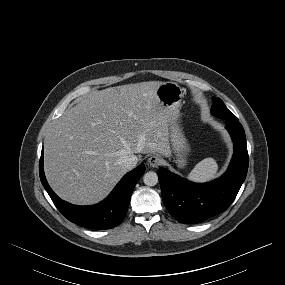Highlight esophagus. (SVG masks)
Returning a JSON list of instances; mask_svg holds the SVG:
<instances>
[{
	"mask_svg": "<svg viewBox=\"0 0 285 285\" xmlns=\"http://www.w3.org/2000/svg\"><path fill=\"white\" fill-rule=\"evenodd\" d=\"M161 163V159L159 156L157 155H152L151 157H149L148 159V165H150L151 167H158Z\"/></svg>",
	"mask_w": 285,
	"mask_h": 285,
	"instance_id": "1",
	"label": "esophagus"
}]
</instances>
